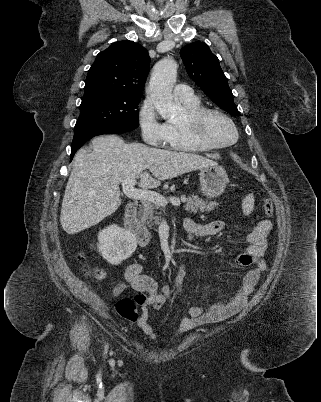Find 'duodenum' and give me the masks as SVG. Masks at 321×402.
<instances>
[{
    "instance_id": "1",
    "label": "duodenum",
    "mask_w": 321,
    "mask_h": 402,
    "mask_svg": "<svg viewBox=\"0 0 321 402\" xmlns=\"http://www.w3.org/2000/svg\"><path fill=\"white\" fill-rule=\"evenodd\" d=\"M123 221L126 229L135 237L139 245L147 246L151 243L152 237L148 229L136 218V207L133 203L127 205Z\"/></svg>"
}]
</instances>
